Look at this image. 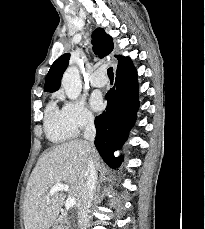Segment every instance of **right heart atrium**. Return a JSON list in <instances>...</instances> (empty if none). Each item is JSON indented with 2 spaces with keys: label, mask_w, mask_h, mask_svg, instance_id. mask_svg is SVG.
Segmentation results:
<instances>
[{
  "label": "right heart atrium",
  "mask_w": 205,
  "mask_h": 229,
  "mask_svg": "<svg viewBox=\"0 0 205 229\" xmlns=\"http://www.w3.org/2000/svg\"><path fill=\"white\" fill-rule=\"evenodd\" d=\"M62 112L65 120L76 133L93 126L95 123L94 114L83 100H65Z\"/></svg>",
  "instance_id": "d8ad5b80"
}]
</instances>
